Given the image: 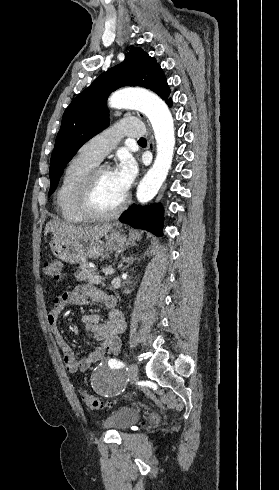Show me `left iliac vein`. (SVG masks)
<instances>
[{
	"instance_id": "left-iliac-vein-1",
	"label": "left iliac vein",
	"mask_w": 279,
	"mask_h": 490,
	"mask_svg": "<svg viewBox=\"0 0 279 490\" xmlns=\"http://www.w3.org/2000/svg\"><path fill=\"white\" fill-rule=\"evenodd\" d=\"M127 374H128V376L132 380L136 379L137 376H138V367H137V365L134 364V363H131L130 365H128V367H127Z\"/></svg>"
}]
</instances>
